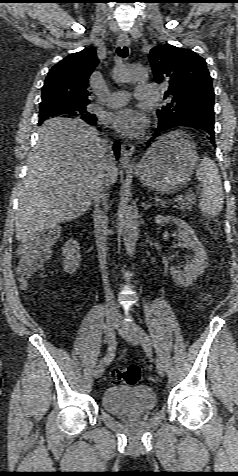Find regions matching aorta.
<instances>
[{
    "label": "aorta",
    "instance_id": "1",
    "mask_svg": "<svg viewBox=\"0 0 238 476\" xmlns=\"http://www.w3.org/2000/svg\"><path fill=\"white\" fill-rule=\"evenodd\" d=\"M123 82L143 83L148 79V74L140 65H124L117 75ZM123 241L126 252L132 256L135 252L137 232V212L135 208L126 203L122 209Z\"/></svg>",
    "mask_w": 238,
    "mask_h": 476
}]
</instances>
